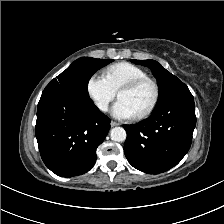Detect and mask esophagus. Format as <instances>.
Instances as JSON below:
<instances>
[{"mask_svg": "<svg viewBox=\"0 0 224 224\" xmlns=\"http://www.w3.org/2000/svg\"><path fill=\"white\" fill-rule=\"evenodd\" d=\"M110 125H111V127H115V126H119L120 123L115 122V121H111Z\"/></svg>", "mask_w": 224, "mask_h": 224, "instance_id": "obj_1", "label": "esophagus"}]
</instances>
